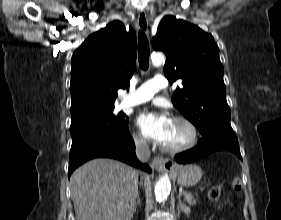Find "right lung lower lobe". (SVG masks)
<instances>
[{"label": "right lung lower lobe", "mask_w": 281, "mask_h": 220, "mask_svg": "<svg viewBox=\"0 0 281 220\" xmlns=\"http://www.w3.org/2000/svg\"><path fill=\"white\" fill-rule=\"evenodd\" d=\"M113 158L126 162L144 171L151 172L142 164L135 154V143L130 132L111 135L95 133L81 135L72 139L69 157L68 176L83 163L94 158Z\"/></svg>", "instance_id": "right-lung-lower-lobe-1"}]
</instances>
